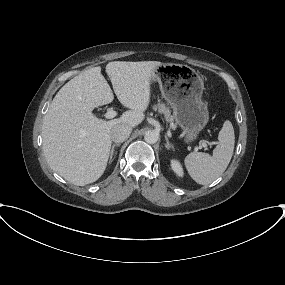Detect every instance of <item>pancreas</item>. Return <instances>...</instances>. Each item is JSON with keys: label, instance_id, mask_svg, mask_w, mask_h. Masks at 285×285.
Returning <instances> with one entry per match:
<instances>
[{"label": "pancreas", "instance_id": "obj_1", "mask_svg": "<svg viewBox=\"0 0 285 285\" xmlns=\"http://www.w3.org/2000/svg\"><path fill=\"white\" fill-rule=\"evenodd\" d=\"M154 110H158L159 113L164 114L166 121L170 122L172 128H175V125L172 124L173 117L171 116V112L168 107H166L163 103H158L157 105L153 106Z\"/></svg>", "mask_w": 285, "mask_h": 285}]
</instances>
